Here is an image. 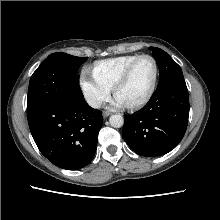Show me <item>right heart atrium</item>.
Wrapping results in <instances>:
<instances>
[{"mask_svg": "<svg viewBox=\"0 0 220 220\" xmlns=\"http://www.w3.org/2000/svg\"><path fill=\"white\" fill-rule=\"evenodd\" d=\"M80 87L86 102L93 108L100 107L111 93V88L99 81L87 68L81 73Z\"/></svg>", "mask_w": 220, "mask_h": 220, "instance_id": "d8ad5b80", "label": "right heart atrium"}]
</instances>
